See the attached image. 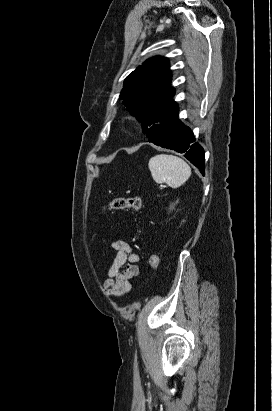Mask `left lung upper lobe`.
Returning <instances> with one entry per match:
<instances>
[{"mask_svg": "<svg viewBox=\"0 0 272 411\" xmlns=\"http://www.w3.org/2000/svg\"><path fill=\"white\" fill-rule=\"evenodd\" d=\"M171 72L165 57L156 56L137 67L124 81L120 99L127 110L142 121L143 132L153 135L179 109L173 100Z\"/></svg>", "mask_w": 272, "mask_h": 411, "instance_id": "1", "label": "left lung upper lobe"}]
</instances>
